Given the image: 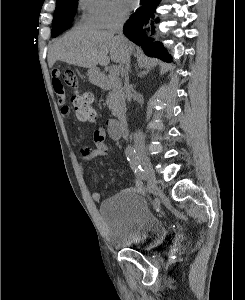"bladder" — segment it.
<instances>
[{
	"label": "bladder",
	"instance_id": "obj_1",
	"mask_svg": "<svg viewBox=\"0 0 245 300\" xmlns=\"http://www.w3.org/2000/svg\"><path fill=\"white\" fill-rule=\"evenodd\" d=\"M99 212L114 248L151 249L167 236L163 221L138 193L123 191L110 196L101 203Z\"/></svg>",
	"mask_w": 245,
	"mask_h": 300
}]
</instances>
